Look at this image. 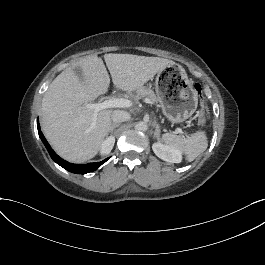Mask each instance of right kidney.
<instances>
[{"instance_id":"ca27d5eb","label":"right kidney","mask_w":265,"mask_h":265,"mask_svg":"<svg viewBox=\"0 0 265 265\" xmlns=\"http://www.w3.org/2000/svg\"><path fill=\"white\" fill-rule=\"evenodd\" d=\"M114 143H115L114 136L111 135V136L107 137L102 142V145H101V148H100V154L102 156L109 154L111 152L113 146H114Z\"/></svg>"}]
</instances>
